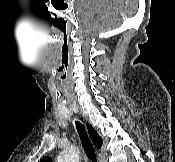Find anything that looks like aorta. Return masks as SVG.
Masks as SVG:
<instances>
[{"mask_svg": "<svg viewBox=\"0 0 175 162\" xmlns=\"http://www.w3.org/2000/svg\"><path fill=\"white\" fill-rule=\"evenodd\" d=\"M56 162H80L79 149L75 146L69 147L59 154Z\"/></svg>", "mask_w": 175, "mask_h": 162, "instance_id": "1", "label": "aorta"}]
</instances>
